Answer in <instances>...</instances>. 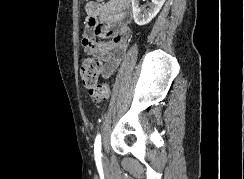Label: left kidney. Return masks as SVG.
Returning a JSON list of instances; mask_svg holds the SVG:
<instances>
[{
  "label": "left kidney",
  "mask_w": 244,
  "mask_h": 179,
  "mask_svg": "<svg viewBox=\"0 0 244 179\" xmlns=\"http://www.w3.org/2000/svg\"><path fill=\"white\" fill-rule=\"evenodd\" d=\"M164 2H166V0H152L149 10H142V8L139 6V0H132V10L135 24H137V26H145V24H149V22H151V20L157 16L158 12H160Z\"/></svg>",
  "instance_id": "1"
}]
</instances>
